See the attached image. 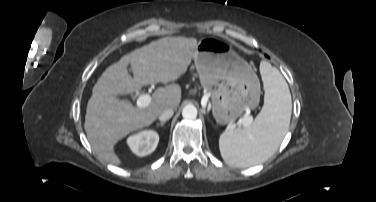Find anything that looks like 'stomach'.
<instances>
[{
	"label": "stomach",
	"mask_w": 376,
	"mask_h": 202,
	"mask_svg": "<svg viewBox=\"0 0 376 202\" xmlns=\"http://www.w3.org/2000/svg\"><path fill=\"white\" fill-rule=\"evenodd\" d=\"M193 59L204 91L210 93L213 116L225 124L246 108H255L260 83L252 67L232 47L216 38L201 39Z\"/></svg>",
	"instance_id": "stomach-1"
}]
</instances>
